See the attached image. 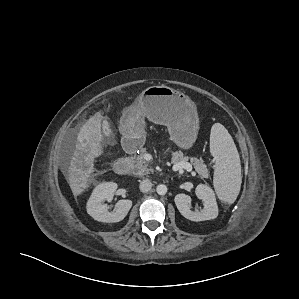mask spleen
Here are the masks:
<instances>
[{
	"label": "spleen",
	"instance_id": "spleen-1",
	"mask_svg": "<svg viewBox=\"0 0 299 299\" xmlns=\"http://www.w3.org/2000/svg\"><path fill=\"white\" fill-rule=\"evenodd\" d=\"M210 152L215 159V192L222 202L232 204L242 183L240 157L231 135L220 123L211 128Z\"/></svg>",
	"mask_w": 299,
	"mask_h": 299
}]
</instances>
